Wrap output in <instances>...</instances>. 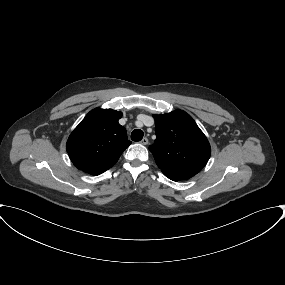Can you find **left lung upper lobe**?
<instances>
[{
	"label": "left lung upper lobe",
	"mask_w": 285,
	"mask_h": 285,
	"mask_svg": "<svg viewBox=\"0 0 285 285\" xmlns=\"http://www.w3.org/2000/svg\"><path fill=\"white\" fill-rule=\"evenodd\" d=\"M154 118L156 139L149 149L163 174L172 180H187L201 171L211 148L193 118L182 110Z\"/></svg>",
	"instance_id": "left-lung-upper-lobe-1"
}]
</instances>
